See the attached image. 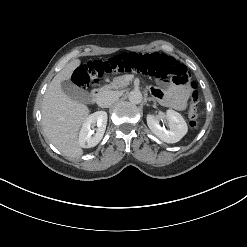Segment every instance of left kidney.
Listing matches in <instances>:
<instances>
[{
	"mask_svg": "<svg viewBox=\"0 0 247 247\" xmlns=\"http://www.w3.org/2000/svg\"><path fill=\"white\" fill-rule=\"evenodd\" d=\"M166 117L169 121V129L159 125L158 119L151 114L147 115V125L150 130L166 143H176L184 137L188 131L184 118L174 110H167Z\"/></svg>",
	"mask_w": 247,
	"mask_h": 247,
	"instance_id": "left-kidney-1",
	"label": "left kidney"
}]
</instances>
